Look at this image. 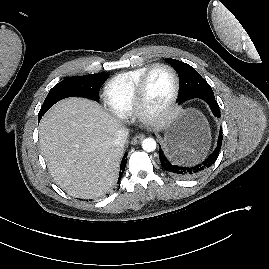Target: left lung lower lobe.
Returning <instances> with one entry per match:
<instances>
[{
  "label": "left lung lower lobe",
  "mask_w": 269,
  "mask_h": 269,
  "mask_svg": "<svg viewBox=\"0 0 269 269\" xmlns=\"http://www.w3.org/2000/svg\"><path fill=\"white\" fill-rule=\"evenodd\" d=\"M197 98L204 100L209 105L214 116H216L217 118L220 117L219 106L214 96L206 95V96L197 97ZM182 102L184 101H181V102L179 101V103H182ZM222 137H223L222 131L220 130L217 147L215 148V150L207 158H205L204 160H201L200 162H196L194 164L181 163L176 158L168 155L167 153H164L163 150L160 149L159 158H160L161 166L164 170H166L167 172L177 177H181V178L196 177L215 163L219 155V150L221 148Z\"/></svg>",
  "instance_id": "obj_1"
}]
</instances>
